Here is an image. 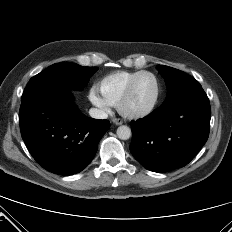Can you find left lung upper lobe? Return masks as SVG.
I'll return each instance as SVG.
<instances>
[{
    "instance_id": "5c2ea615",
    "label": "left lung upper lobe",
    "mask_w": 232,
    "mask_h": 232,
    "mask_svg": "<svg viewBox=\"0 0 232 232\" xmlns=\"http://www.w3.org/2000/svg\"><path fill=\"white\" fill-rule=\"evenodd\" d=\"M158 71L166 81L168 94L165 102L191 89L201 87L200 83L190 75L164 65L158 66Z\"/></svg>"
}]
</instances>
